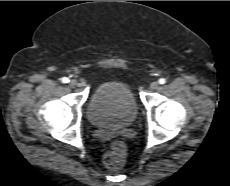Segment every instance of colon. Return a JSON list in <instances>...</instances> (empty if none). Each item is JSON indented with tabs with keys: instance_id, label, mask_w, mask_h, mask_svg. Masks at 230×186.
I'll return each mask as SVG.
<instances>
[{
	"instance_id": "1",
	"label": "colon",
	"mask_w": 230,
	"mask_h": 186,
	"mask_svg": "<svg viewBox=\"0 0 230 186\" xmlns=\"http://www.w3.org/2000/svg\"><path fill=\"white\" fill-rule=\"evenodd\" d=\"M127 148L124 142L117 140L112 143L103 157L105 166L111 170H118L125 164Z\"/></svg>"
}]
</instances>
